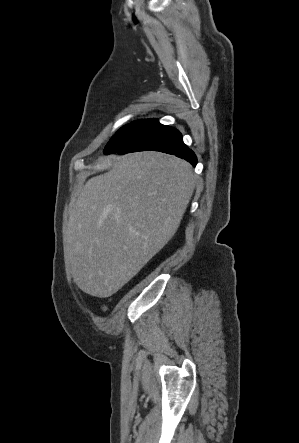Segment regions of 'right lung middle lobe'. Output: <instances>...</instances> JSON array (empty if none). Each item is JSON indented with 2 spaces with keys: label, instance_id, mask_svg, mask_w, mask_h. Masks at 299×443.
Masks as SVG:
<instances>
[{
  "label": "right lung middle lobe",
  "instance_id": "right-lung-middle-lobe-1",
  "mask_svg": "<svg viewBox=\"0 0 299 443\" xmlns=\"http://www.w3.org/2000/svg\"><path fill=\"white\" fill-rule=\"evenodd\" d=\"M130 125V124H129ZM125 126L123 128H121L120 130L117 131V133L111 138V140L108 142L107 146L105 147V149H107L108 147H110L111 145L114 144V142L116 141V139L126 130V128L129 126Z\"/></svg>",
  "mask_w": 299,
  "mask_h": 443
}]
</instances>
